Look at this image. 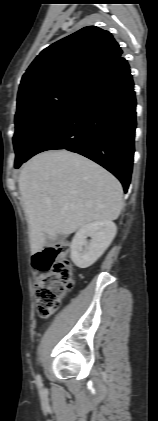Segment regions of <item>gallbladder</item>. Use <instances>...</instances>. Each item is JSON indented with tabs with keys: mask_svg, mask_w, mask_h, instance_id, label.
Segmentation results:
<instances>
[{
	"mask_svg": "<svg viewBox=\"0 0 158 421\" xmlns=\"http://www.w3.org/2000/svg\"><path fill=\"white\" fill-rule=\"evenodd\" d=\"M63 239H64V236L63 235H58L57 238H56V240H51L48 237H46L45 246H52L56 242H61Z\"/></svg>",
	"mask_w": 158,
	"mask_h": 421,
	"instance_id": "1",
	"label": "gallbladder"
}]
</instances>
